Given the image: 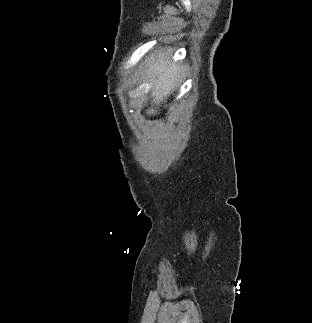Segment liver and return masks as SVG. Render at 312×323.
I'll list each match as a JSON object with an SVG mask.
<instances>
[{
    "label": "liver",
    "instance_id": "1",
    "mask_svg": "<svg viewBox=\"0 0 312 323\" xmlns=\"http://www.w3.org/2000/svg\"><path fill=\"white\" fill-rule=\"evenodd\" d=\"M167 56H172V50H167ZM183 68L179 64H174L170 60H164V58H157L153 60L147 70V78H153L152 98L154 104L153 108H149L146 114L149 116H155L159 114L155 106H159L162 102H166L169 96L173 94L177 84H179L180 76Z\"/></svg>",
    "mask_w": 312,
    "mask_h": 323
}]
</instances>
